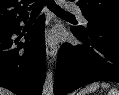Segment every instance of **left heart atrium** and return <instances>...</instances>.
Returning a JSON list of instances; mask_svg holds the SVG:
<instances>
[{
    "label": "left heart atrium",
    "mask_w": 119,
    "mask_h": 95,
    "mask_svg": "<svg viewBox=\"0 0 119 95\" xmlns=\"http://www.w3.org/2000/svg\"><path fill=\"white\" fill-rule=\"evenodd\" d=\"M57 38L56 32L51 33L50 39L55 40Z\"/></svg>",
    "instance_id": "39dd6f15"
}]
</instances>
